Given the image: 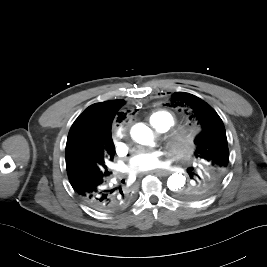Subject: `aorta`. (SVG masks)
<instances>
[{
    "mask_svg": "<svg viewBox=\"0 0 267 267\" xmlns=\"http://www.w3.org/2000/svg\"><path fill=\"white\" fill-rule=\"evenodd\" d=\"M131 137L134 141L142 145L153 143V133L149 127L143 123H137L131 128ZM186 183V177L181 173L172 174L167 181V186L171 191L178 192Z\"/></svg>",
    "mask_w": 267,
    "mask_h": 267,
    "instance_id": "obj_1",
    "label": "aorta"
}]
</instances>
